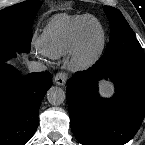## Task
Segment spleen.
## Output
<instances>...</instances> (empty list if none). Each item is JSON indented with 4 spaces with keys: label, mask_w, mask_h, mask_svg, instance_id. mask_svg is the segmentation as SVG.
Here are the masks:
<instances>
[{
    "label": "spleen",
    "mask_w": 145,
    "mask_h": 145,
    "mask_svg": "<svg viewBox=\"0 0 145 145\" xmlns=\"http://www.w3.org/2000/svg\"><path fill=\"white\" fill-rule=\"evenodd\" d=\"M102 92L103 94H110L111 93L110 85L107 83L102 84Z\"/></svg>",
    "instance_id": "3e777b00"
}]
</instances>
